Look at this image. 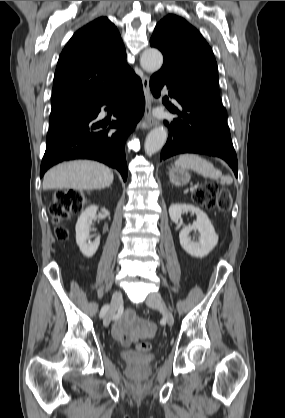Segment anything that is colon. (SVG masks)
Instances as JSON below:
<instances>
[{"mask_svg":"<svg viewBox=\"0 0 285 418\" xmlns=\"http://www.w3.org/2000/svg\"><path fill=\"white\" fill-rule=\"evenodd\" d=\"M193 199L204 208H218L221 211H229L232 205L230 194L214 183H206L197 188L193 193ZM85 203L84 194L79 190H58L55 200L50 207V215L55 222H61L72 215L79 214ZM55 235L59 240L67 239L69 232L65 226L60 225ZM138 350L148 352L151 344L140 342Z\"/></svg>","mask_w":285,"mask_h":418,"instance_id":"5ec220e1","label":"colon"}]
</instances>
